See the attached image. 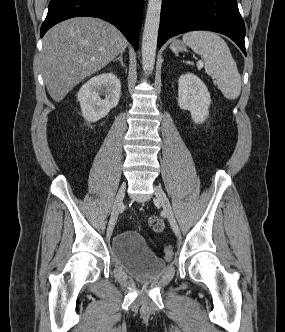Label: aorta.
<instances>
[{
	"mask_svg": "<svg viewBox=\"0 0 285 332\" xmlns=\"http://www.w3.org/2000/svg\"><path fill=\"white\" fill-rule=\"evenodd\" d=\"M162 0H149L142 37V65L146 72L154 68Z\"/></svg>",
	"mask_w": 285,
	"mask_h": 332,
	"instance_id": "aorta-1",
	"label": "aorta"
}]
</instances>
